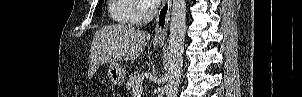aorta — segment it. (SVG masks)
Wrapping results in <instances>:
<instances>
[{
    "instance_id": "obj_1",
    "label": "aorta",
    "mask_w": 302,
    "mask_h": 97,
    "mask_svg": "<svg viewBox=\"0 0 302 97\" xmlns=\"http://www.w3.org/2000/svg\"><path fill=\"white\" fill-rule=\"evenodd\" d=\"M186 30V1L173 0L168 46V76L166 97H176L183 65V49Z\"/></svg>"
}]
</instances>
